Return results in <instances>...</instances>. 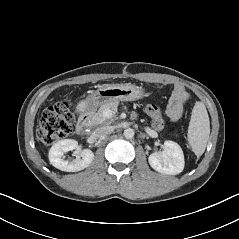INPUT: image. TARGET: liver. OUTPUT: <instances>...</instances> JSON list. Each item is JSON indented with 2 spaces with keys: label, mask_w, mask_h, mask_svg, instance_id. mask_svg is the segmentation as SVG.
<instances>
[{
  "label": "liver",
  "mask_w": 239,
  "mask_h": 239,
  "mask_svg": "<svg viewBox=\"0 0 239 239\" xmlns=\"http://www.w3.org/2000/svg\"><path fill=\"white\" fill-rule=\"evenodd\" d=\"M76 111L83 114L88 112V102L87 99L80 101L76 106Z\"/></svg>",
  "instance_id": "obj_1"
}]
</instances>
